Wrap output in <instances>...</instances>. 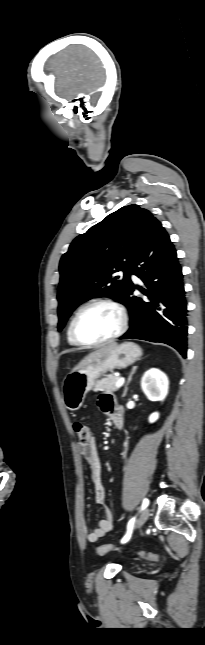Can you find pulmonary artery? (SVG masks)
<instances>
[{"mask_svg":"<svg viewBox=\"0 0 205 645\" xmlns=\"http://www.w3.org/2000/svg\"><path fill=\"white\" fill-rule=\"evenodd\" d=\"M132 278H133V279H136V276H135V275H132Z\"/></svg>","mask_w":205,"mask_h":645,"instance_id":"obj_1","label":"pulmonary artery"}]
</instances>
